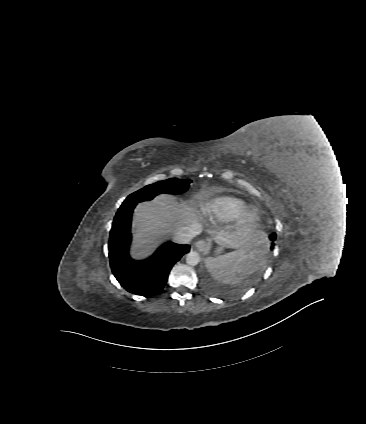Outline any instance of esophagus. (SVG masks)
Instances as JSON below:
<instances>
[{"label": "esophagus", "mask_w": 366, "mask_h": 424, "mask_svg": "<svg viewBox=\"0 0 366 424\" xmlns=\"http://www.w3.org/2000/svg\"><path fill=\"white\" fill-rule=\"evenodd\" d=\"M195 247H196L199 251L204 252V251H207V250H208L209 245H208V243H207L205 240L200 239V240H198V241L195 243Z\"/></svg>", "instance_id": "esophagus-1"}]
</instances>
